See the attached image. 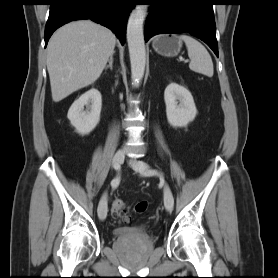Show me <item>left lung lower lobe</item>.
Wrapping results in <instances>:
<instances>
[{"label": "left lung lower lobe", "mask_w": 278, "mask_h": 278, "mask_svg": "<svg viewBox=\"0 0 278 278\" xmlns=\"http://www.w3.org/2000/svg\"><path fill=\"white\" fill-rule=\"evenodd\" d=\"M214 0H153L146 19L145 41L156 34L189 32L218 56Z\"/></svg>", "instance_id": "left-lung-lower-lobe-1"}]
</instances>
